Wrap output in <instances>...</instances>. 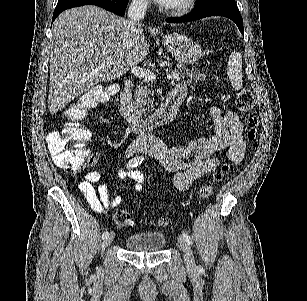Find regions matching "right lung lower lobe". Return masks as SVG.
I'll list each match as a JSON object with an SVG mask.
<instances>
[{"instance_id": "obj_1", "label": "right lung lower lobe", "mask_w": 307, "mask_h": 301, "mask_svg": "<svg viewBox=\"0 0 307 301\" xmlns=\"http://www.w3.org/2000/svg\"><path fill=\"white\" fill-rule=\"evenodd\" d=\"M128 0H58L52 22L64 10L82 5H96L119 16H124Z\"/></svg>"}]
</instances>
